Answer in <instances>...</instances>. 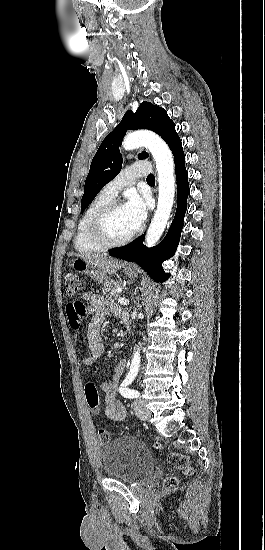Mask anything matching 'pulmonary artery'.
<instances>
[{
	"label": "pulmonary artery",
	"mask_w": 265,
	"mask_h": 550,
	"mask_svg": "<svg viewBox=\"0 0 265 550\" xmlns=\"http://www.w3.org/2000/svg\"><path fill=\"white\" fill-rule=\"evenodd\" d=\"M148 165L149 163L146 161H139L128 165L116 178L103 187L102 192L114 198L121 189L132 185L137 177L146 175Z\"/></svg>",
	"instance_id": "pulmonary-artery-1"
}]
</instances>
